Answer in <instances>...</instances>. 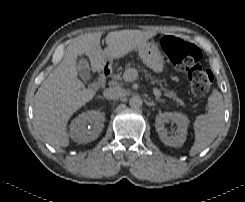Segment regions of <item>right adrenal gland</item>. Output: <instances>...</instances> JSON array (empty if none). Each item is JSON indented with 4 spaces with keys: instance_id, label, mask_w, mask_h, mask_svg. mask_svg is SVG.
<instances>
[{
    "instance_id": "2a0ac1e0",
    "label": "right adrenal gland",
    "mask_w": 245,
    "mask_h": 202,
    "mask_svg": "<svg viewBox=\"0 0 245 202\" xmlns=\"http://www.w3.org/2000/svg\"><path fill=\"white\" fill-rule=\"evenodd\" d=\"M99 98L102 99V100L104 99L103 97H99Z\"/></svg>"
}]
</instances>
